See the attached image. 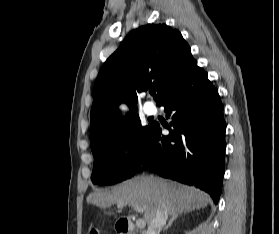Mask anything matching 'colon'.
Here are the masks:
<instances>
[{"mask_svg": "<svg viewBox=\"0 0 279 234\" xmlns=\"http://www.w3.org/2000/svg\"><path fill=\"white\" fill-rule=\"evenodd\" d=\"M87 234H101V232L97 228H91Z\"/></svg>", "mask_w": 279, "mask_h": 234, "instance_id": "1", "label": "colon"}]
</instances>
